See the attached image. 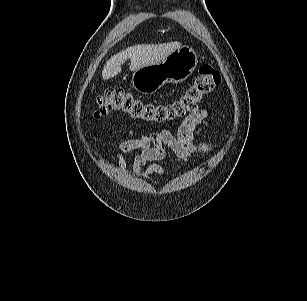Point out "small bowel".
<instances>
[{
	"label": "small bowel",
	"mask_w": 307,
	"mask_h": 301,
	"mask_svg": "<svg viewBox=\"0 0 307 301\" xmlns=\"http://www.w3.org/2000/svg\"><path fill=\"white\" fill-rule=\"evenodd\" d=\"M213 112L210 108L197 110L186 118L179 126L176 133L168 129L149 134L136 131H126L117 147V162L122 171L127 169L125 155L133 151H140L130 166L134 175H139L147 163H151L145 171L146 177L162 176L163 168L157 163L165 158L167 149L172 151L184 163H189L197 151H207L209 144H195L194 132L196 126Z\"/></svg>",
	"instance_id": "c3829d8e"
}]
</instances>
